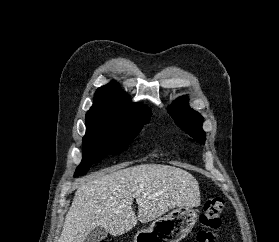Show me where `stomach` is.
<instances>
[{
	"label": "stomach",
	"instance_id": "obj_1",
	"mask_svg": "<svg viewBox=\"0 0 279 242\" xmlns=\"http://www.w3.org/2000/svg\"><path fill=\"white\" fill-rule=\"evenodd\" d=\"M197 210L178 206L165 217L155 220L149 228L141 229L134 242H180L197 222Z\"/></svg>",
	"mask_w": 279,
	"mask_h": 242
}]
</instances>
